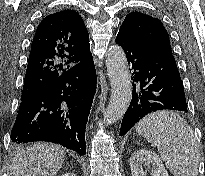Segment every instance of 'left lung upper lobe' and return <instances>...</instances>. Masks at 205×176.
Wrapping results in <instances>:
<instances>
[{"instance_id": "obj_1", "label": "left lung upper lobe", "mask_w": 205, "mask_h": 176, "mask_svg": "<svg viewBox=\"0 0 205 176\" xmlns=\"http://www.w3.org/2000/svg\"><path fill=\"white\" fill-rule=\"evenodd\" d=\"M120 31H124L138 44L163 54L172 55L169 35L157 18L140 12H131L123 21Z\"/></svg>"}]
</instances>
